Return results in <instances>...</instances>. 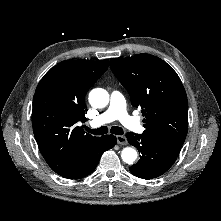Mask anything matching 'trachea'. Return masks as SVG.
Masks as SVG:
<instances>
[{"instance_id":"3493384b","label":"trachea","mask_w":221,"mask_h":221,"mask_svg":"<svg viewBox=\"0 0 221 221\" xmlns=\"http://www.w3.org/2000/svg\"><path fill=\"white\" fill-rule=\"evenodd\" d=\"M85 129H86L87 132L95 134V135H103V134H106L108 132V128L106 126H102L98 129H90L88 127H86ZM110 132L112 134H115V135H122L123 134V129L121 127L113 126L110 129Z\"/></svg>"}]
</instances>
